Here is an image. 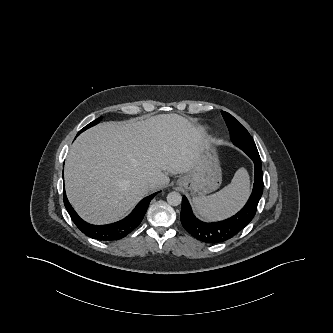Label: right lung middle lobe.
Returning a JSON list of instances; mask_svg holds the SVG:
<instances>
[{
  "label": "right lung middle lobe",
  "instance_id": "obj_1",
  "mask_svg": "<svg viewBox=\"0 0 333 333\" xmlns=\"http://www.w3.org/2000/svg\"><path fill=\"white\" fill-rule=\"evenodd\" d=\"M100 120H101V117L98 118V119H96V120H94L93 122H91L90 124H88L87 126H85L77 135H79L81 132L85 131L86 129H88V128H90V127L98 124L100 122Z\"/></svg>",
  "mask_w": 333,
  "mask_h": 333
}]
</instances>
